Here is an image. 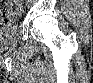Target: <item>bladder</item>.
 Listing matches in <instances>:
<instances>
[{
    "instance_id": "bladder-1",
    "label": "bladder",
    "mask_w": 93,
    "mask_h": 83,
    "mask_svg": "<svg viewBox=\"0 0 93 83\" xmlns=\"http://www.w3.org/2000/svg\"><path fill=\"white\" fill-rule=\"evenodd\" d=\"M9 36H10V33L9 32H3L1 34V39L2 40H6Z\"/></svg>"
}]
</instances>
